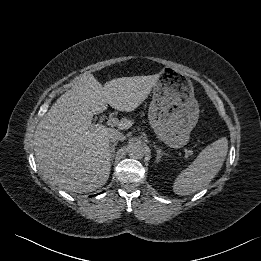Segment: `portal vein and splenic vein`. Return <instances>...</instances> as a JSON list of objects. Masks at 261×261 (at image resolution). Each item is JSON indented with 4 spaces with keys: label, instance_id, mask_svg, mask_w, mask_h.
<instances>
[{
    "label": "portal vein and splenic vein",
    "instance_id": "obj_1",
    "mask_svg": "<svg viewBox=\"0 0 261 261\" xmlns=\"http://www.w3.org/2000/svg\"><path fill=\"white\" fill-rule=\"evenodd\" d=\"M121 123L118 118H109L107 121V125L109 126H119ZM185 153L188 155H193V151L191 149H184Z\"/></svg>",
    "mask_w": 261,
    "mask_h": 261
}]
</instances>
